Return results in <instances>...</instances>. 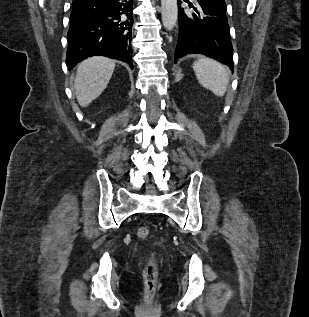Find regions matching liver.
Here are the masks:
<instances>
[{"instance_id":"liver-1","label":"liver","mask_w":309,"mask_h":317,"mask_svg":"<svg viewBox=\"0 0 309 317\" xmlns=\"http://www.w3.org/2000/svg\"><path fill=\"white\" fill-rule=\"evenodd\" d=\"M115 68V61L106 57H91L81 62L75 78L76 98L87 107L107 87Z\"/></svg>"}]
</instances>
